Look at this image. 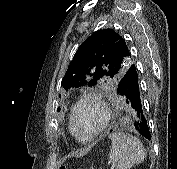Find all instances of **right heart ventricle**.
<instances>
[{
    "mask_svg": "<svg viewBox=\"0 0 177 169\" xmlns=\"http://www.w3.org/2000/svg\"><path fill=\"white\" fill-rule=\"evenodd\" d=\"M69 131H70V133H71L77 140H79V139L74 135V133L72 132L70 123H69ZM79 141L82 142V143H86V141H81V140H79Z\"/></svg>",
    "mask_w": 177,
    "mask_h": 169,
    "instance_id": "right-heart-ventricle-1",
    "label": "right heart ventricle"
}]
</instances>
